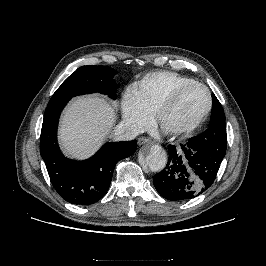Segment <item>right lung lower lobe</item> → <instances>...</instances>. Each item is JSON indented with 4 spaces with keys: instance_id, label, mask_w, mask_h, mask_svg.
Wrapping results in <instances>:
<instances>
[{
    "instance_id": "1",
    "label": "right lung lower lobe",
    "mask_w": 266,
    "mask_h": 266,
    "mask_svg": "<svg viewBox=\"0 0 266 266\" xmlns=\"http://www.w3.org/2000/svg\"><path fill=\"white\" fill-rule=\"evenodd\" d=\"M70 99L68 95L51 97L41 129L40 153L58 194L69 203L90 205L106 194L116 163L131 156L137 143L136 140L107 143L84 161L65 158L57 143V126L60 113Z\"/></svg>"
}]
</instances>
